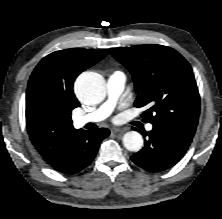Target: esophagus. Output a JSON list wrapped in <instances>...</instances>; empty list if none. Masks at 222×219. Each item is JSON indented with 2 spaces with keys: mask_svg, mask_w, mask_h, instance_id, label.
Returning <instances> with one entry per match:
<instances>
[{
  "mask_svg": "<svg viewBox=\"0 0 222 219\" xmlns=\"http://www.w3.org/2000/svg\"><path fill=\"white\" fill-rule=\"evenodd\" d=\"M122 132H124V130L120 129V128H113L112 129V133H114V134H118V133H122Z\"/></svg>",
  "mask_w": 222,
  "mask_h": 219,
  "instance_id": "obj_1",
  "label": "esophagus"
}]
</instances>
